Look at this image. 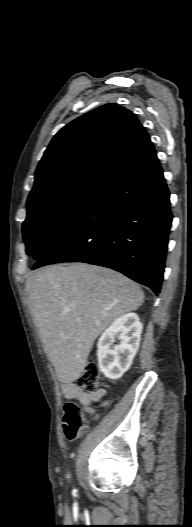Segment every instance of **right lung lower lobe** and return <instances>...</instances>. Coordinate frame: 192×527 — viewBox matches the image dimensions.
I'll return each instance as SVG.
<instances>
[{
	"label": "right lung lower lobe",
	"instance_id": "1",
	"mask_svg": "<svg viewBox=\"0 0 192 527\" xmlns=\"http://www.w3.org/2000/svg\"><path fill=\"white\" fill-rule=\"evenodd\" d=\"M170 193L150 143L109 179L32 269L57 262L108 267L160 292L172 222Z\"/></svg>",
	"mask_w": 192,
	"mask_h": 527
}]
</instances>
